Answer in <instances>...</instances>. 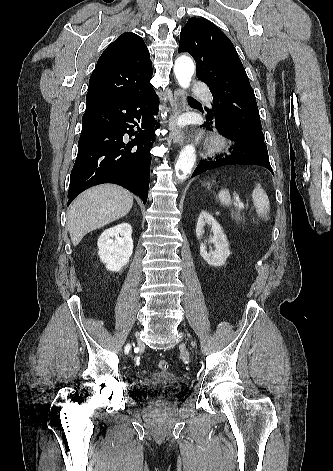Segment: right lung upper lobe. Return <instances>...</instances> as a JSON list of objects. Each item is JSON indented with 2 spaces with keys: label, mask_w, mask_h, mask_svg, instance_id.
<instances>
[{
  "label": "right lung upper lobe",
  "mask_w": 333,
  "mask_h": 471,
  "mask_svg": "<svg viewBox=\"0 0 333 471\" xmlns=\"http://www.w3.org/2000/svg\"><path fill=\"white\" fill-rule=\"evenodd\" d=\"M151 78L152 63L143 39L131 32L120 35L98 59L89 80L86 111L141 90Z\"/></svg>",
  "instance_id": "cb5924a9"
}]
</instances>
